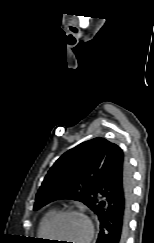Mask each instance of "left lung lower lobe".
I'll list each match as a JSON object with an SVG mask.
<instances>
[{
	"mask_svg": "<svg viewBox=\"0 0 154 243\" xmlns=\"http://www.w3.org/2000/svg\"><path fill=\"white\" fill-rule=\"evenodd\" d=\"M97 197L93 211L100 222L96 243H125L132 202V174L122 150L112 147L94 187Z\"/></svg>",
	"mask_w": 154,
	"mask_h": 243,
	"instance_id": "1",
	"label": "left lung lower lobe"
}]
</instances>
